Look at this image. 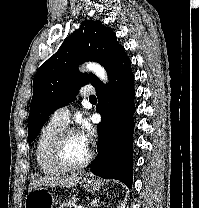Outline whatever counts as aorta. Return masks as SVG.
<instances>
[{
    "instance_id": "762f6f07",
    "label": "aorta",
    "mask_w": 199,
    "mask_h": 208,
    "mask_svg": "<svg viewBox=\"0 0 199 208\" xmlns=\"http://www.w3.org/2000/svg\"><path fill=\"white\" fill-rule=\"evenodd\" d=\"M84 69L93 72L103 82H107L106 71L98 63L89 62L84 66Z\"/></svg>"
}]
</instances>
